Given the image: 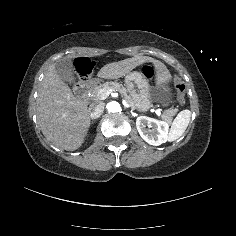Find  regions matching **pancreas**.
<instances>
[{"label": "pancreas", "mask_w": 236, "mask_h": 236, "mask_svg": "<svg viewBox=\"0 0 236 236\" xmlns=\"http://www.w3.org/2000/svg\"><path fill=\"white\" fill-rule=\"evenodd\" d=\"M102 89H114L116 91H118L121 94V98L126 101L129 105L133 106L134 102L133 99L131 98V96L127 93L126 88L118 83V82H106L104 84H100L98 86H95L94 88L91 89V95L94 101H99L102 97L101 95V91ZM176 113L175 110H167L164 113H162L160 115V117L165 120L168 121L169 123L172 122V116H174Z\"/></svg>", "instance_id": "1"}]
</instances>
